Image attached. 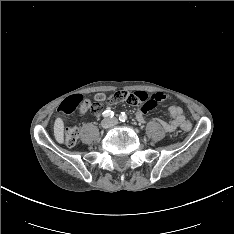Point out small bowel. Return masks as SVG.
Masks as SVG:
<instances>
[{"label":"small bowel","instance_id":"obj_1","mask_svg":"<svg viewBox=\"0 0 234 234\" xmlns=\"http://www.w3.org/2000/svg\"><path fill=\"white\" fill-rule=\"evenodd\" d=\"M148 109L145 108H140L137 110L135 113L136 119L140 122H144L146 119V113L148 112ZM168 114L170 116V120L167 122H162V125L164 129L167 132H172L174 131L177 127L182 126L186 121H185V116L183 114V110L179 106H171L168 109ZM157 120V119H155Z\"/></svg>","mask_w":234,"mask_h":234}]
</instances>
